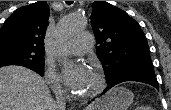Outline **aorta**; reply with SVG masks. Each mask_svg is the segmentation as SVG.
<instances>
[{
  "instance_id": "1",
  "label": "aorta",
  "mask_w": 171,
  "mask_h": 110,
  "mask_svg": "<svg viewBox=\"0 0 171 110\" xmlns=\"http://www.w3.org/2000/svg\"><path fill=\"white\" fill-rule=\"evenodd\" d=\"M86 25L87 19L82 15L73 14L65 16L58 24L56 38L59 42H62L82 31Z\"/></svg>"
}]
</instances>
